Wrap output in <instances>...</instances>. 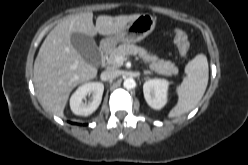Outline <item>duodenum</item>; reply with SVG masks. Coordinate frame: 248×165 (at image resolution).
Segmentation results:
<instances>
[{"label": "duodenum", "instance_id": "410a0bca", "mask_svg": "<svg viewBox=\"0 0 248 165\" xmlns=\"http://www.w3.org/2000/svg\"><path fill=\"white\" fill-rule=\"evenodd\" d=\"M109 50H110V44L109 43H104L100 47L99 54H100V61H101L102 66L106 62V58H107Z\"/></svg>", "mask_w": 248, "mask_h": 165}]
</instances>
